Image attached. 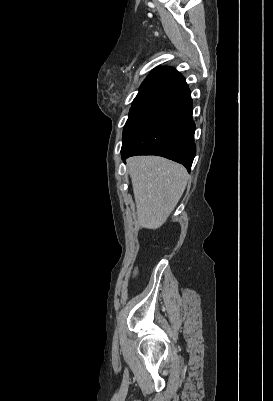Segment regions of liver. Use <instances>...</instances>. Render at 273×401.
<instances>
[{
    "mask_svg": "<svg viewBox=\"0 0 273 401\" xmlns=\"http://www.w3.org/2000/svg\"><path fill=\"white\" fill-rule=\"evenodd\" d=\"M127 162L138 223L144 229H159L186 188V168L162 156H131Z\"/></svg>",
    "mask_w": 273,
    "mask_h": 401,
    "instance_id": "6515ba94",
    "label": "liver"
}]
</instances>
